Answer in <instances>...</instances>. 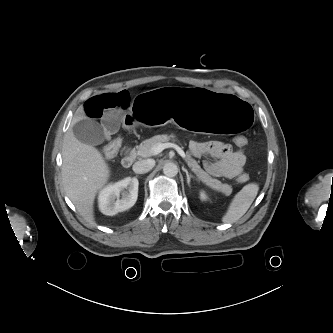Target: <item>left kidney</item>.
Here are the masks:
<instances>
[{
  "instance_id": "5707ae66",
  "label": "left kidney",
  "mask_w": 333,
  "mask_h": 333,
  "mask_svg": "<svg viewBox=\"0 0 333 333\" xmlns=\"http://www.w3.org/2000/svg\"><path fill=\"white\" fill-rule=\"evenodd\" d=\"M200 197L202 200H206L207 196L204 192H201Z\"/></svg>"
}]
</instances>
